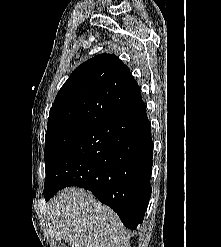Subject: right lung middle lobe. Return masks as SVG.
<instances>
[{
  "label": "right lung middle lobe",
  "mask_w": 221,
  "mask_h": 247,
  "mask_svg": "<svg viewBox=\"0 0 221 247\" xmlns=\"http://www.w3.org/2000/svg\"><path fill=\"white\" fill-rule=\"evenodd\" d=\"M89 128L91 127L73 124L47 129L44 150L46 178L64 151Z\"/></svg>",
  "instance_id": "1"
}]
</instances>
